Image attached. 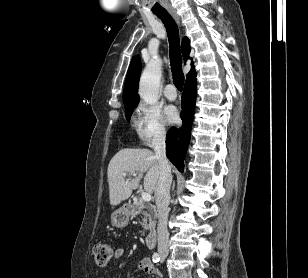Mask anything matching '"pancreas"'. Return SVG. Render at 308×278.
Masks as SVG:
<instances>
[{"label":"pancreas","mask_w":308,"mask_h":278,"mask_svg":"<svg viewBox=\"0 0 308 278\" xmlns=\"http://www.w3.org/2000/svg\"><path fill=\"white\" fill-rule=\"evenodd\" d=\"M134 207L137 212H140L143 215L141 225L143 226L144 230L154 231L157 218L155 207L146 204L143 200L135 202ZM143 209H146V211Z\"/></svg>","instance_id":"obj_1"}]
</instances>
